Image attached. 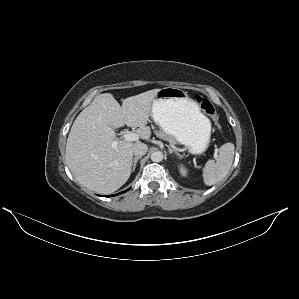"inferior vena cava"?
<instances>
[{
  "label": "inferior vena cava",
  "instance_id": "obj_1",
  "mask_svg": "<svg viewBox=\"0 0 299 299\" xmlns=\"http://www.w3.org/2000/svg\"><path fill=\"white\" fill-rule=\"evenodd\" d=\"M147 151H148V146L144 143L137 144L133 148V154L135 156H143L147 153Z\"/></svg>",
  "mask_w": 299,
  "mask_h": 299
}]
</instances>
